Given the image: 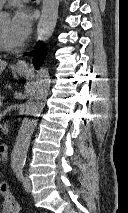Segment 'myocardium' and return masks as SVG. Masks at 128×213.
<instances>
[{"instance_id": "obj_1", "label": "myocardium", "mask_w": 128, "mask_h": 213, "mask_svg": "<svg viewBox=\"0 0 128 213\" xmlns=\"http://www.w3.org/2000/svg\"><path fill=\"white\" fill-rule=\"evenodd\" d=\"M0 48L9 52L17 50V46L11 44L1 32H0Z\"/></svg>"}]
</instances>
